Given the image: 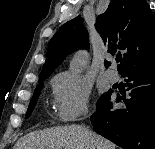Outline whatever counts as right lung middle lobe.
<instances>
[{"instance_id":"dd1d6c3e","label":"right lung middle lobe","mask_w":155,"mask_h":149,"mask_svg":"<svg viewBox=\"0 0 155 149\" xmlns=\"http://www.w3.org/2000/svg\"><path fill=\"white\" fill-rule=\"evenodd\" d=\"M46 78H48V77L40 78V79H39V82L44 81ZM42 87H43V83H40V84L36 87V89H35V91H34L33 98H32V100H31V102H30V105H29L28 110H27V113H26V118H28V117L31 115V113H32V111H33V109H34V107H35L36 100L38 99V96H39V94H40V91H41ZM110 94H111L110 92L105 93V94L101 97V99L99 100V102L102 101V100L108 99V98L110 97Z\"/></svg>"}]
</instances>
